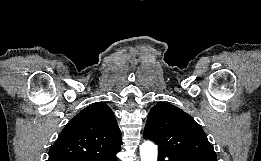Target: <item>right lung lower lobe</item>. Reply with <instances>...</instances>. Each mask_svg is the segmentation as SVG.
I'll return each instance as SVG.
<instances>
[{"instance_id":"98d812e1","label":"right lung lower lobe","mask_w":261,"mask_h":161,"mask_svg":"<svg viewBox=\"0 0 261 161\" xmlns=\"http://www.w3.org/2000/svg\"><path fill=\"white\" fill-rule=\"evenodd\" d=\"M119 151L120 149L108 153H103L94 157L82 158L76 161H117L116 153Z\"/></svg>"}]
</instances>
